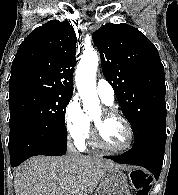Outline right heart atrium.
<instances>
[{
	"instance_id": "obj_1",
	"label": "right heart atrium",
	"mask_w": 178,
	"mask_h": 195,
	"mask_svg": "<svg viewBox=\"0 0 178 195\" xmlns=\"http://www.w3.org/2000/svg\"><path fill=\"white\" fill-rule=\"evenodd\" d=\"M64 123L67 136L71 141L77 144L85 143L90 135V120L77 97H72L67 103Z\"/></svg>"
}]
</instances>
